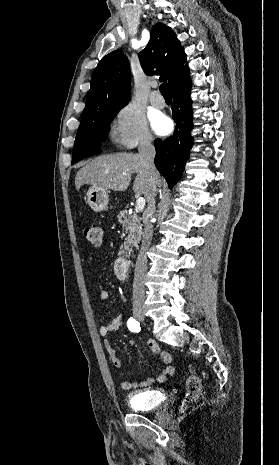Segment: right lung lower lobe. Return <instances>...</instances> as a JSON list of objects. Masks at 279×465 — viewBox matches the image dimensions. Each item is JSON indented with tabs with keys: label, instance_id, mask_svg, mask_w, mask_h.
<instances>
[{
	"label": "right lung lower lobe",
	"instance_id": "98d812e1",
	"mask_svg": "<svg viewBox=\"0 0 279 465\" xmlns=\"http://www.w3.org/2000/svg\"><path fill=\"white\" fill-rule=\"evenodd\" d=\"M191 81L186 77L173 90L172 114L176 129L172 136L161 140L156 139L155 165L165 177L171 188L181 178L184 165L189 157V150L193 145L190 135L192 128V106L190 99Z\"/></svg>",
	"mask_w": 279,
	"mask_h": 465
}]
</instances>
